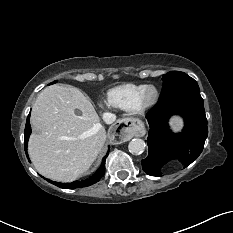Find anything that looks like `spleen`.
Segmentation results:
<instances>
[{"label":"spleen","instance_id":"1","mask_svg":"<svg viewBox=\"0 0 233 233\" xmlns=\"http://www.w3.org/2000/svg\"><path fill=\"white\" fill-rule=\"evenodd\" d=\"M170 124H171V126H172V128H173V130H174L175 132L180 131L181 128H182V126H183L182 121H181V119H179V118H173V119L170 121Z\"/></svg>","mask_w":233,"mask_h":233}]
</instances>
